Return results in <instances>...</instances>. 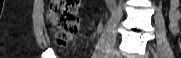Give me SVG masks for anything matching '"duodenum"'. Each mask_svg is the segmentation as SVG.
<instances>
[{"label":"duodenum","mask_w":181,"mask_h":58,"mask_svg":"<svg viewBox=\"0 0 181 58\" xmlns=\"http://www.w3.org/2000/svg\"><path fill=\"white\" fill-rule=\"evenodd\" d=\"M107 2H108L109 5H113L114 4L113 0H108Z\"/></svg>","instance_id":"duodenum-1"}]
</instances>
